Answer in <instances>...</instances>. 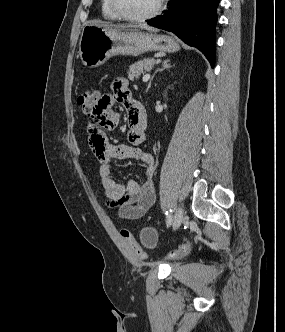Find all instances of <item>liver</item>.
Returning <instances> with one entry per match:
<instances>
[{
	"label": "liver",
	"instance_id": "liver-1",
	"mask_svg": "<svg viewBox=\"0 0 285 332\" xmlns=\"http://www.w3.org/2000/svg\"><path fill=\"white\" fill-rule=\"evenodd\" d=\"M98 25H101V26H103V27H106V28H108V29H111L112 31H115V32H120V31H122V30H126V29H128V28H130L131 26H129V25H125V26H120V27H113V26H110V25H108V24H98ZM142 28H144V29H146V30H148V31H151V32H156L157 31V29H155V28H153V27H149V26H146V25H143L142 26Z\"/></svg>",
	"mask_w": 285,
	"mask_h": 332
}]
</instances>
